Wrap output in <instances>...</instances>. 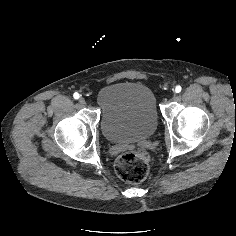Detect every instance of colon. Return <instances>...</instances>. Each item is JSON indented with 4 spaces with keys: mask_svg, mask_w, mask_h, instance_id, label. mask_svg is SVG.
<instances>
[{
    "mask_svg": "<svg viewBox=\"0 0 236 236\" xmlns=\"http://www.w3.org/2000/svg\"><path fill=\"white\" fill-rule=\"evenodd\" d=\"M150 167L149 155L144 151H134L124 154L116 161L115 169L118 176L128 183L143 181Z\"/></svg>",
    "mask_w": 236,
    "mask_h": 236,
    "instance_id": "5ec220e1",
    "label": "colon"
}]
</instances>
